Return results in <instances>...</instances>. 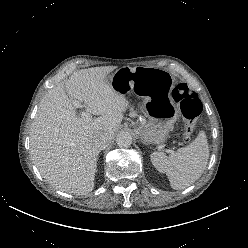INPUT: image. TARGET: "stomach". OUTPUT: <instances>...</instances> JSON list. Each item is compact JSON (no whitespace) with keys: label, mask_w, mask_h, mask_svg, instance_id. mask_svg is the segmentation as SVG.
I'll use <instances>...</instances> for the list:
<instances>
[{"label":"stomach","mask_w":248,"mask_h":248,"mask_svg":"<svg viewBox=\"0 0 248 248\" xmlns=\"http://www.w3.org/2000/svg\"><path fill=\"white\" fill-rule=\"evenodd\" d=\"M111 87L125 96L136 92L144 100L145 117L135 129L143 144H161L178 117L171 92L174 86L169 72L154 67H121L108 76Z\"/></svg>","instance_id":"1"}]
</instances>
